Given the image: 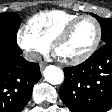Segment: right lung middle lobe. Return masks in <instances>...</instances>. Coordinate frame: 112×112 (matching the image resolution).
Returning <instances> with one entry per match:
<instances>
[{
	"label": "right lung middle lobe",
	"mask_w": 112,
	"mask_h": 112,
	"mask_svg": "<svg viewBox=\"0 0 112 112\" xmlns=\"http://www.w3.org/2000/svg\"><path fill=\"white\" fill-rule=\"evenodd\" d=\"M20 26V17L16 13L0 14V46L19 48L16 34Z\"/></svg>",
	"instance_id": "1"
}]
</instances>
